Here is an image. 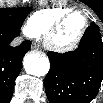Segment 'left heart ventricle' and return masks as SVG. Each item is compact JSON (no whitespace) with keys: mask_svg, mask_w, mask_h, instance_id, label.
<instances>
[{"mask_svg":"<svg viewBox=\"0 0 103 103\" xmlns=\"http://www.w3.org/2000/svg\"><path fill=\"white\" fill-rule=\"evenodd\" d=\"M84 17L81 14L71 16L59 29L54 37L57 44H67L73 41L84 27Z\"/></svg>","mask_w":103,"mask_h":103,"instance_id":"left-heart-ventricle-1","label":"left heart ventricle"}]
</instances>
